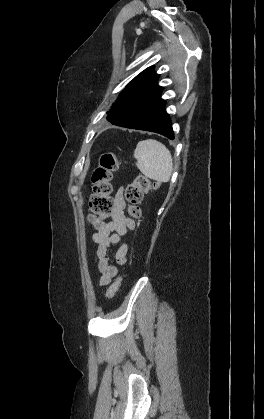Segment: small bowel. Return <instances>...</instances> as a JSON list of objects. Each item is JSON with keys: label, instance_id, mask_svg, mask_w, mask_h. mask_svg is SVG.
<instances>
[{"label": "small bowel", "instance_id": "obj_1", "mask_svg": "<svg viewBox=\"0 0 264 419\" xmlns=\"http://www.w3.org/2000/svg\"><path fill=\"white\" fill-rule=\"evenodd\" d=\"M125 207L124 189L121 187L115 195V206L110 221L103 224L92 236L96 245L95 257L98 260L97 270L101 274V285H108L118 274L117 266L110 262L109 253L112 245H119L115 254L118 265H124L128 260V246L122 242V238L134 228L135 224L126 216Z\"/></svg>", "mask_w": 264, "mask_h": 419}]
</instances>
